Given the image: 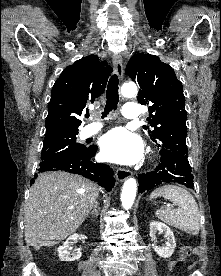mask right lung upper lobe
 Masks as SVG:
<instances>
[{
	"label": "right lung upper lobe",
	"mask_w": 221,
	"mask_h": 276,
	"mask_svg": "<svg viewBox=\"0 0 221 276\" xmlns=\"http://www.w3.org/2000/svg\"><path fill=\"white\" fill-rule=\"evenodd\" d=\"M112 68L97 55H89L66 67L56 80L48 105L46 134L78 132L87 103L105 89Z\"/></svg>",
	"instance_id": "1"
}]
</instances>
